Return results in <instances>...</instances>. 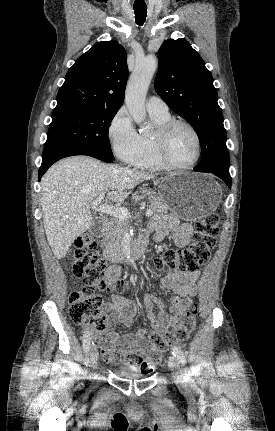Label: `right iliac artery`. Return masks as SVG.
<instances>
[{"label":"right iliac artery","instance_id":"obj_1","mask_svg":"<svg viewBox=\"0 0 275 431\" xmlns=\"http://www.w3.org/2000/svg\"><path fill=\"white\" fill-rule=\"evenodd\" d=\"M93 344V342H92ZM91 346V338H90V334L88 331H85L84 335H83V349L85 351V353L89 352Z\"/></svg>","mask_w":275,"mask_h":431}]
</instances>
